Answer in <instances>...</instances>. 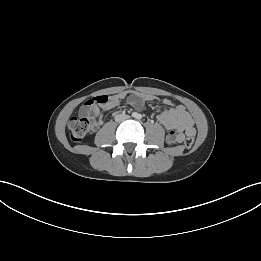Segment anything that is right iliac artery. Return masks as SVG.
Listing matches in <instances>:
<instances>
[{
  "label": "right iliac artery",
  "instance_id": "right-iliac-artery-1",
  "mask_svg": "<svg viewBox=\"0 0 261 261\" xmlns=\"http://www.w3.org/2000/svg\"><path fill=\"white\" fill-rule=\"evenodd\" d=\"M132 116H133V117H136V116H137V114H136V113H132Z\"/></svg>",
  "mask_w": 261,
  "mask_h": 261
}]
</instances>
